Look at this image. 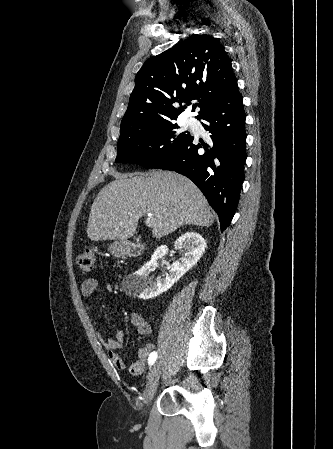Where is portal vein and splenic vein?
<instances>
[{"mask_svg":"<svg viewBox=\"0 0 333 449\" xmlns=\"http://www.w3.org/2000/svg\"><path fill=\"white\" fill-rule=\"evenodd\" d=\"M151 214H148V218H147V220H146V224L147 225H150L151 224Z\"/></svg>","mask_w":333,"mask_h":449,"instance_id":"1","label":"portal vein and splenic vein"}]
</instances>
